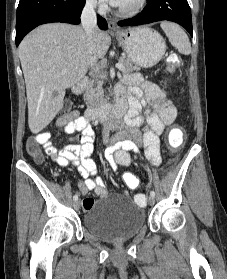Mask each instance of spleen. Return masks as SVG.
<instances>
[{
	"label": "spleen",
	"mask_w": 227,
	"mask_h": 279,
	"mask_svg": "<svg viewBox=\"0 0 227 279\" xmlns=\"http://www.w3.org/2000/svg\"><path fill=\"white\" fill-rule=\"evenodd\" d=\"M160 26L168 37L170 43L180 53L184 55L191 53L189 38L179 25L170 22H162Z\"/></svg>",
	"instance_id": "3e777b00"
}]
</instances>
